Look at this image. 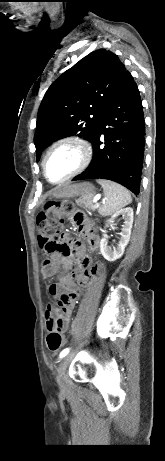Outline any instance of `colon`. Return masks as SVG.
Masks as SVG:
<instances>
[{"instance_id":"5ec220e1","label":"colon","mask_w":165,"mask_h":461,"mask_svg":"<svg viewBox=\"0 0 165 461\" xmlns=\"http://www.w3.org/2000/svg\"><path fill=\"white\" fill-rule=\"evenodd\" d=\"M73 209L69 202L52 201L46 205L44 212L37 217V228L39 230V244L48 253L71 251L70 246L60 235V227L63 224V216ZM42 275L45 279H51L55 275V269L49 259L42 263ZM60 319H53L48 324L49 334L47 336V345L51 351L59 350L64 344V338L60 333Z\"/></svg>"}]
</instances>
